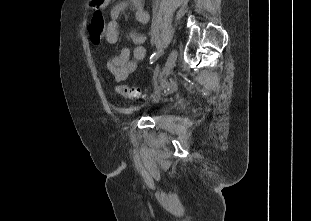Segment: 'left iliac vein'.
<instances>
[{"instance_id":"1","label":"left iliac vein","mask_w":311,"mask_h":221,"mask_svg":"<svg viewBox=\"0 0 311 221\" xmlns=\"http://www.w3.org/2000/svg\"><path fill=\"white\" fill-rule=\"evenodd\" d=\"M176 59H177V51L176 50H172L170 52L169 56H168V59L166 61V64H165L162 72L158 76V81L163 80L171 72V70L175 66Z\"/></svg>"}]
</instances>
